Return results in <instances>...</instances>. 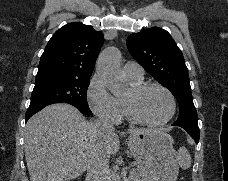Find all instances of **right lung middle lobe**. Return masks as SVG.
Segmentation results:
<instances>
[{"label":"right lung middle lobe","mask_w":228,"mask_h":181,"mask_svg":"<svg viewBox=\"0 0 228 181\" xmlns=\"http://www.w3.org/2000/svg\"><path fill=\"white\" fill-rule=\"evenodd\" d=\"M89 84V78L63 75L36 77L29 107L65 102L75 106L84 115H92L86 99Z\"/></svg>","instance_id":"obj_1"}]
</instances>
